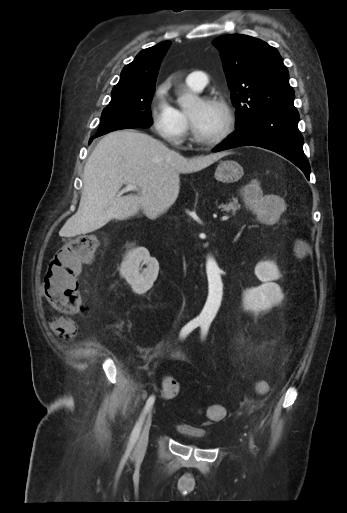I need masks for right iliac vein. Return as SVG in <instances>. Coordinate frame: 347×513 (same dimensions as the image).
Masks as SVG:
<instances>
[{"label":"right iliac vein","instance_id":"right-iliac-vein-1","mask_svg":"<svg viewBox=\"0 0 347 513\" xmlns=\"http://www.w3.org/2000/svg\"><path fill=\"white\" fill-rule=\"evenodd\" d=\"M151 422H152V416H151V412H149V414H148V416L146 418V421L144 423L142 432L140 434V437L138 439L135 451H134L136 456H141L146 451L147 444H148V438H149V430H150V427H151Z\"/></svg>","mask_w":347,"mask_h":513}]
</instances>
